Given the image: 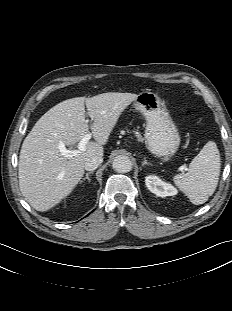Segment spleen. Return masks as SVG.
<instances>
[{
  "label": "spleen",
  "mask_w": 232,
  "mask_h": 311,
  "mask_svg": "<svg viewBox=\"0 0 232 311\" xmlns=\"http://www.w3.org/2000/svg\"><path fill=\"white\" fill-rule=\"evenodd\" d=\"M220 165L217 145L209 141L192 160L188 172L174 176V183L193 204H203L217 187Z\"/></svg>",
  "instance_id": "obj_1"
}]
</instances>
